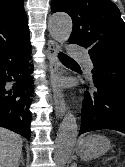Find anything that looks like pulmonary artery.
<instances>
[{"label":"pulmonary artery","mask_w":125,"mask_h":167,"mask_svg":"<svg viewBox=\"0 0 125 167\" xmlns=\"http://www.w3.org/2000/svg\"><path fill=\"white\" fill-rule=\"evenodd\" d=\"M69 54L76 59L82 60L88 71L92 70L93 64L85 51L80 48L72 47L69 50Z\"/></svg>","instance_id":"obj_1"}]
</instances>
